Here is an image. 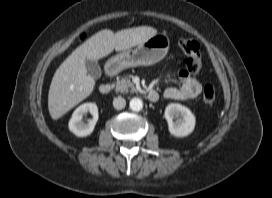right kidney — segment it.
I'll list each match as a JSON object with an SVG mask.
<instances>
[{
  "label": "right kidney",
  "mask_w": 272,
  "mask_h": 198,
  "mask_svg": "<svg viewBox=\"0 0 272 198\" xmlns=\"http://www.w3.org/2000/svg\"><path fill=\"white\" fill-rule=\"evenodd\" d=\"M87 113L92 115V119L88 123H84L82 118ZM98 120V107L95 103H84L80 105L72 114L69 121V130L78 137H86L90 135Z\"/></svg>",
  "instance_id": "obj_1"
}]
</instances>
